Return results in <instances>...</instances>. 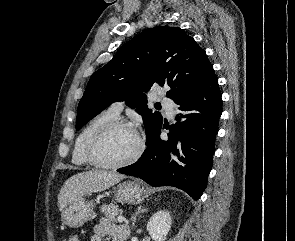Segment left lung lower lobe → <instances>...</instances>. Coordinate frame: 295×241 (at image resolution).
<instances>
[{"label": "left lung lower lobe", "instance_id": "left-lung-lower-lobe-1", "mask_svg": "<svg viewBox=\"0 0 295 241\" xmlns=\"http://www.w3.org/2000/svg\"><path fill=\"white\" fill-rule=\"evenodd\" d=\"M175 103L180 106L178 122L169 128V140L160 138L161 124L141 158L117 171L139 177L154 187H177L198 200L207 186L222 114L216 75Z\"/></svg>", "mask_w": 295, "mask_h": 241}]
</instances>
